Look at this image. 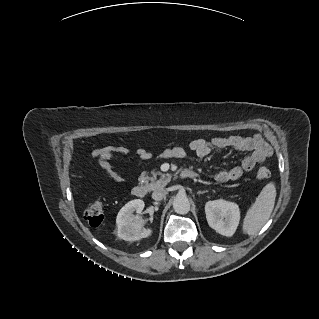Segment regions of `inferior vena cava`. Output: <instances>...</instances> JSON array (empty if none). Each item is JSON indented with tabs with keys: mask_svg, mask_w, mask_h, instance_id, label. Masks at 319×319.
Masks as SVG:
<instances>
[{
	"mask_svg": "<svg viewBox=\"0 0 319 319\" xmlns=\"http://www.w3.org/2000/svg\"><path fill=\"white\" fill-rule=\"evenodd\" d=\"M167 195V190L164 188H158L152 193V198L156 201L162 200Z\"/></svg>",
	"mask_w": 319,
	"mask_h": 319,
	"instance_id": "1",
	"label": "inferior vena cava"
}]
</instances>
